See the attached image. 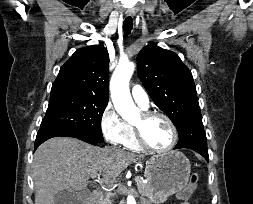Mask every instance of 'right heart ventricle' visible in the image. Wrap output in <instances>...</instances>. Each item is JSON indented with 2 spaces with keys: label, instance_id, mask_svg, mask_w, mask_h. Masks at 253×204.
<instances>
[{
  "label": "right heart ventricle",
  "instance_id": "e07e8e85",
  "mask_svg": "<svg viewBox=\"0 0 253 204\" xmlns=\"http://www.w3.org/2000/svg\"><path fill=\"white\" fill-rule=\"evenodd\" d=\"M123 145L125 146V148L131 151L138 152L142 150V148L140 147V145L136 140L134 128L132 125H129V134L126 140L124 141Z\"/></svg>",
  "mask_w": 253,
  "mask_h": 204
}]
</instances>
